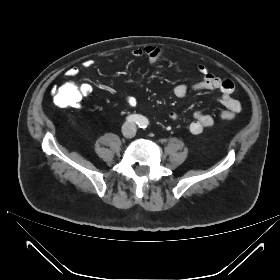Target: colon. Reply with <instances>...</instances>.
Instances as JSON below:
<instances>
[{
	"label": "colon",
	"mask_w": 280,
	"mask_h": 280,
	"mask_svg": "<svg viewBox=\"0 0 280 280\" xmlns=\"http://www.w3.org/2000/svg\"><path fill=\"white\" fill-rule=\"evenodd\" d=\"M53 100L59 107H69L80 102L81 96L76 84L71 80H67L55 88L53 91ZM221 117L227 120L233 118L228 113L222 114Z\"/></svg>",
	"instance_id": "obj_1"
}]
</instances>
